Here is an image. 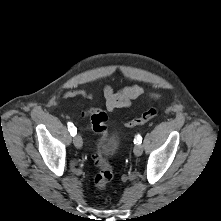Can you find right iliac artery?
I'll return each mask as SVG.
<instances>
[{
	"mask_svg": "<svg viewBox=\"0 0 221 221\" xmlns=\"http://www.w3.org/2000/svg\"><path fill=\"white\" fill-rule=\"evenodd\" d=\"M68 129L72 136H75L77 134V128L71 122L68 123Z\"/></svg>",
	"mask_w": 221,
	"mask_h": 221,
	"instance_id": "82829eb1",
	"label": "right iliac artery"
}]
</instances>
